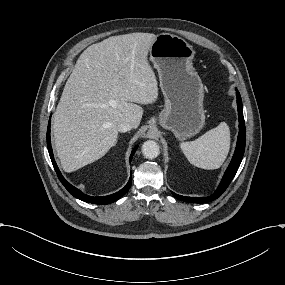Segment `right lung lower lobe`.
<instances>
[{
	"label": "right lung lower lobe",
	"instance_id": "1",
	"mask_svg": "<svg viewBox=\"0 0 285 285\" xmlns=\"http://www.w3.org/2000/svg\"><path fill=\"white\" fill-rule=\"evenodd\" d=\"M50 120L48 123V129H47V147H48V151H49V155L52 161V164L54 166V169L58 175L59 180L61 181V183L64 185V187L67 189V191L73 195L74 197L88 202V203H94V204H99V205H106L109 203H112L116 200H118L119 198H121L130 188L131 186V182H132V177H130L127 185L121 189L120 191L108 195V196H101V197H93V196H89L86 195L84 193H82L80 190H78L77 188H75L74 186H72L70 183H68L64 177L62 176L61 172L58 169V166L56 165V162L54 160V156H53V152H52V147H51V141H50ZM137 150V146L132 150L131 156H130V161L132 160V157L135 153V151Z\"/></svg>",
	"mask_w": 285,
	"mask_h": 285
}]
</instances>
